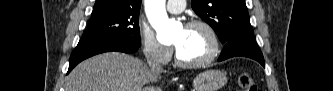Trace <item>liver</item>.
<instances>
[{
  "instance_id": "1",
  "label": "liver",
  "mask_w": 333,
  "mask_h": 91,
  "mask_svg": "<svg viewBox=\"0 0 333 91\" xmlns=\"http://www.w3.org/2000/svg\"><path fill=\"white\" fill-rule=\"evenodd\" d=\"M160 79V73L138 58L110 52L76 66L67 77L65 91H161L149 85Z\"/></svg>"
}]
</instances>
